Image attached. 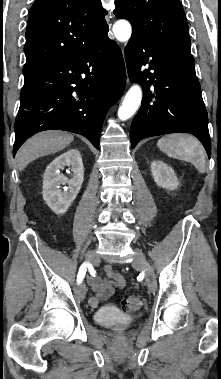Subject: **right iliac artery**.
I'll list each match as a JSON object with an SVG mask.
<instances>
[{
    "mask_svg": "<svg viewBox=\"0 0 221 379\" xmlns=\"http://www.w3.org/2000/svg\"><path fill=\"white\" fill-rule=\"evenodd\" d=\"M90 264L88 262H85L81 265L80 269H79V272H78V275H77V283L80 284L84 277H85V274H86V271H87V267H89Z\"/></svg>",
    "mask_w": 221,
    "mask_h": 379,
    "instance_id": "right-iliac-artery-1",
    "label": "right iliac artery"
}]
</instances>
